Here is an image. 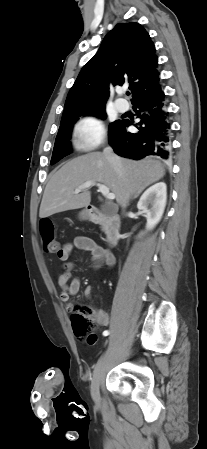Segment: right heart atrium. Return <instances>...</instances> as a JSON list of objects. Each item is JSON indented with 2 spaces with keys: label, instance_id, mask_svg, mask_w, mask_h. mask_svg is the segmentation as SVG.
<instances>
[{
  "label": "right heart atrium",
  "instance_id": "1",
  "mask_svg": "<svg viewBox=\"0 0 207 449\" xmlns=\"http://www.w3.org/2000/svg\"><path fill=\"white\" fill-rule=\"evenodd\" d=\"M77 147L90 150L98 146L105 136V127L100 118L94 115L81 117L74 126Z\"/></svg>",
  "mask_w": 207,
  "mask_h": 449
}]
</instances>
